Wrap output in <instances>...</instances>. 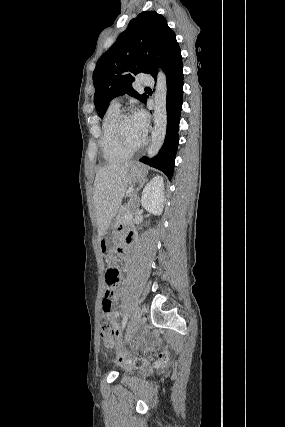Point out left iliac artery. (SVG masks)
I'll list each match as a JSON object with an SVG mask.
<instances>
[{"label":"left iliac artery","instance_id":"left-iliac-artery-1","mask_svg":"<svg viewBox=\"0 0 285 427\" xmlns=\"http://www.w3.org/2000/svg\"><path fill=\"white\" fill-rule=\"evenodd\" d=\"M127 320H128V314H126V315L124 316L123 320H122V329H124V327H125V325H126V323H127Z\"/></svg>","mask_w":285,"mask_h":427}]
</instances>
